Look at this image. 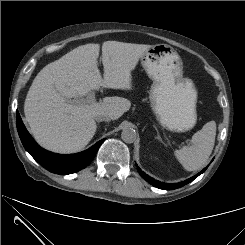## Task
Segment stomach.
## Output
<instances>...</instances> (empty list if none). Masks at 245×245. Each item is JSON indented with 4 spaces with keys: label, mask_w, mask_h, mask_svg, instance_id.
I'll use <instances>...</instances> for the list:
<instances>
[{
    "label": "stomach",
    "mask_w": 245,
    "mask_h": 245,
    "mask_svg": "<svg viewBox=\"0 0 245 245\" xmlns=\"http://www.w3.org/2000/svg\"><path fill=\"white\" fill-rule=\"evenodd\" d=\"M140 59L153 81L150 101L161 125L175 132L192 129L197 121V92L192 81L183 78L179 54L170 45L156 44Z\"/></svg>",
    "instance_id": "obj_1"
}]
</instances>
